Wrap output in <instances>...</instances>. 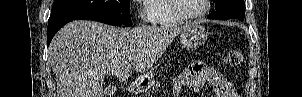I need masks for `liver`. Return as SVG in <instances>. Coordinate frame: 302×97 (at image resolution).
Listing matches in <instances>:
<instances>
[{"label": "liver", "mask_w": 302, "mask_h": 97, "mask_svg": "<svg viewBox=\"0 0 302 97\" xmlns=\"http://www.w3.org/2000/svg\"><path fill=\"white\" fill-rule=\"evenodd\" d=\"M182 25L114 28L78 20L62 27L49 47V60L57 80V97H102L104 75L126 81L133 67L146 73L162 56Z\"/></svg>", "instance_id": "liver-1"}]
</instances>
